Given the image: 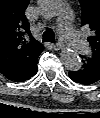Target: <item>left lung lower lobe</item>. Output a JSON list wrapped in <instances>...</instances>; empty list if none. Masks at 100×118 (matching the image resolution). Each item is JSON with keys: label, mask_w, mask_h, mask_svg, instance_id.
I'll list each match as a JSON object with an SVG mask.
<instances>
[{"label": "left lung lower lobe", "mask_w": 100, "mask_h": 118, "mask_svg": "<svg viewBox=\"0 0 100 118\" xmlns=\"http://www.w3.org/2000/svg\"><path fill=\"white\" fill-rule=\"evenodd\" d=\"M83 65L80 70L69 71V77L76 83L90 85L100 80V64L90 58L81 56Z\"/></svg>", "instance_id": "obj_1"}]
</instances>
